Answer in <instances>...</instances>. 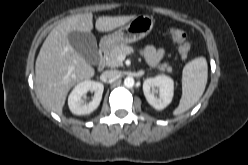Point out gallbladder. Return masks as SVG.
<instances>
[{"label":"gallbladder","instance_id":"1","mask_svg":"<svg viewBox=\"0 0 248 165\" xmlns=\"http://www.w3.org/2000/svg\"><path fill=\"white\" fill-rule=\"evenodd\" d=\"M68 40L74 50L79 53L87 63L97 65L99 54L95 36L90 32L71 31Z\"/></svg>","mask_w":248,"mask_h":165}]
</instances>
